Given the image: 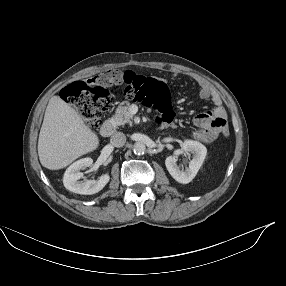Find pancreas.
Instances as JSON below:
<instances>
[{
    "label": "pancreas",
    "mask_w": 286,
    "mask_h": 286,
    "mask_svg": "<svg viewBox=\"0 0 286 286\" xmlns=\"http://www.w3.org/2000/svg\"><path fill=\"white\" fill-rule=\"evenodd\" d=\"M129 106L128 102H123L117 107L113 117L116 125L120 126L132 123L133 114L130 112Z\"/></svg>",
    "instance_id": "1"
}]
</instances>
